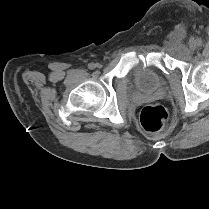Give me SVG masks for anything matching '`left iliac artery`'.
<instances>
[{"label":"left iliac artery","instance_id":"obj_1","mask_svg":"<svg viewBox=\"0 0 209 209\" xmlns=\"http://www.w3.org/2000/svg\"><path fill=\"white\" fill-rule=\"evenodd\" d=\"M196 44H197V46H201L202 41L200 39H197Z\"/></svg>","mask_w":209,"mask_h":209}]
</instances>
